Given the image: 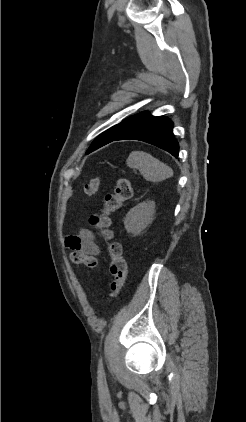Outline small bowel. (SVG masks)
I'll use <instances>...</instances> for the list:
<instances>
[{"label": "small bowel", "mask_w": 246, "mask_h": 422, "mask_svg": "<svg viewBox=\"0 0 246 422\" xmlns=\"http://www.w3.org/2000/svg\"><path fill=\"white\" fill-rule=\"evenodd\" d=\"M65 244L72 251H79L94 258L100 251L92 232L87 229L81 230L79 235L67 236Z\"/></svg>", "instance_id": "small-bowel-1"}]
</instances>
